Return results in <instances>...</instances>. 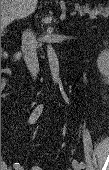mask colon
I'll return each instance as SVG.
<instances>
[{
    "label": "colon",
    "mask_w": 109,
    "mask_h": 170,
    "mask_svg": "<svg viewBox=\"0 0 109 170\" xmlns=\"http://www.w3.org/2000/svg\"><path fill=\"white\" fill-rule=\"evenodd\" d=\"M30 170H44V168L40 165H34L30 168Z\"/></svg>",
    "instance_id": "1"
}]
</instances>
